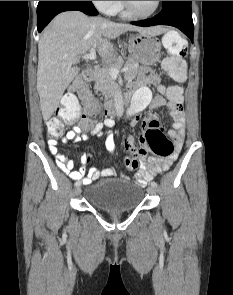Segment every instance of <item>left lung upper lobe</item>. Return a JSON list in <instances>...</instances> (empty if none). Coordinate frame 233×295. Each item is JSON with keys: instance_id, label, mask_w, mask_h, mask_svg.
Masks as SVG:
<instances>
[{"instance_id": "obj_1", "label": "left lung upper lobe", "mask_w": 233, "mask_h": 295, "mask_svg": "<svg viewBox=\"0 0 233 295\" xmlns=\"http://www.w3.org/2000/svg\"><path fill=\"white\" fill-rule=\"evenodd\" d=\"M168 1H163V4L167 3Z\"/></svg>"}]
</instances>
